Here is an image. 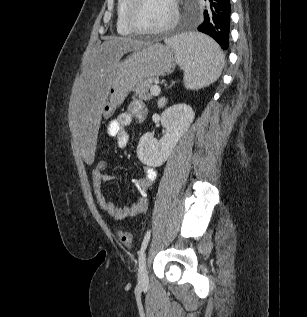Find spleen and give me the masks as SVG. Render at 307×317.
<instances>
[{"mask_svg":"<svg viewBox=\"0 0 307 317\" xmlns=\"http://www.w3.org/2000/svg\"><path fill=\"white\" fill-rule=\"evenodd\" d=\"M174 49L177 64L184 70V85L198 90L215 82L221 74L224 55L207 35L190 33L166 40Z\"/></svg>","mask_w":307,"mask_h":317,"instance_id":"spleen-1","label":"spleen"}]
</instances>
